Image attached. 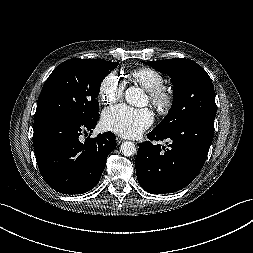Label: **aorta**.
<instances>
[{"mask_svg":"<svg viewBox=\"0 0 253 253\" xmlns=\"http://www.w3.org/2000/svg\"><path fill=\"white\" fill-rule=\"evenodd\" d=\"M125 99L129 105L142 107L146 104V96L139 87H129L125 91ZM136 146L133 142L126 141L121 144V152L124 156H132L136 153Z\"/></svg>","mask_w":253,"mask_h":253,"instance_id":"obj_1","label":"aorta"}]
</instances>
